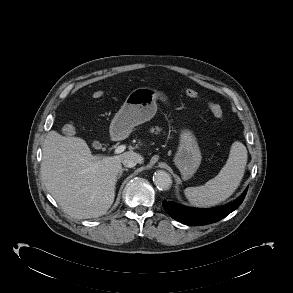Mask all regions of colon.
<instances>
[{
	"instance_id": "colon-1",
	"label": "colon",
	"mask_w": 293,
	"mask_h": 293,
	"mask_svg": "<svg viewBox=\"0 0 293 293\" xmlns=\"http://www.w3.org/2000/svg\"><path fill=\"white\" fill-rule=\"evenodd\" d=\"M186 95L189 98L192 99H200V95L197 91L193 90V89H187L186 90ZM103 91H95L93 93V98L98 99L101 98L103 96ZM206 105L209 108V110L211 111V113L219 120L223 119L224 117V112L221 108V106L217 103L214 102H210V101H206ZM62 131L65 135H72L74 134V126L72 124H66L63 126Z\"/></svg>"
}]
</instances>
